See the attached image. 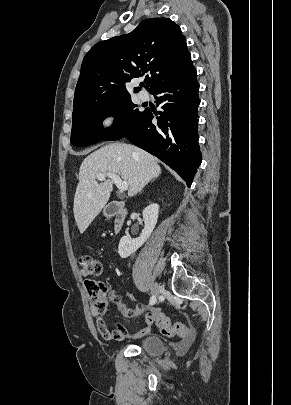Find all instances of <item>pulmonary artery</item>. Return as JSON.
I'll return each mask as SVG.
<instances>
[{
    "label": "pulmonary artery",
    "mask_w": 291,
    "mask_h": 405,
    "mask_svg": "<svg viewBox=\"0 0 291 405\" xmlns=\"http://www.w3.org/2000/svg\"><path fill=\"white\" fill-rule=\"evenodd\" d=\"M138 96L142 101H146L149 98L148 93L146 91H143V90L138 93Z\"/></svg>",
    "instance_id": "obj_1"
}]
</instances>
